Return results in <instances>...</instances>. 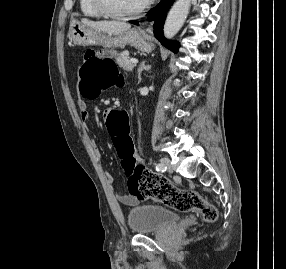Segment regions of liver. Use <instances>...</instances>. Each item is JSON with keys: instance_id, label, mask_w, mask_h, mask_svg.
Masks as SVG:
<instances>
[{"instance_id": "1", "label": "liver", "mask_w": 286, "mask_h": 269, "mask_svg": "<svg viewBox=\"0 0 286 269\" xmlns=\"http://www.w3.org/2000/svg\"><path fill=\"white\" fill-rule=\"evenodd\" d=\"M81 23L97 31L111 35H120L131 28V25L120 21H92L87 18L81 19Z\"/></svg>"}]
</instances>
